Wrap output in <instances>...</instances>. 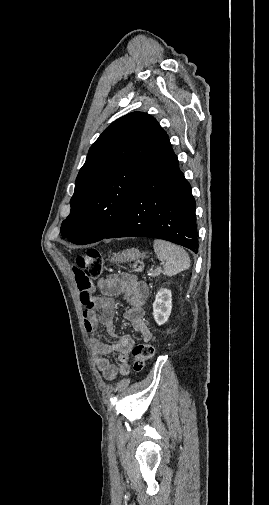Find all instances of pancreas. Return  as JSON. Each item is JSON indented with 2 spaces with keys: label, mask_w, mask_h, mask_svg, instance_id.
Masks as SVG:
<instances>
[{
  "label": "pancreas",
  "mask_w": 269,
  "mask_h": 505,
  "mask_svg": "<svg viewBox=\"0 0 269 505\" xmlns=\"http://www.w3.org/2000/svg\"><path fill=\"white\" fill-rule=\"evenodd\" d=\"M160 273H161V270H160V269H157V270H152V271L150 272V275H151L152 277H156V276H159V275H160Z\"/></svg>",
  "instance_id": "1"
}]
</instances>
